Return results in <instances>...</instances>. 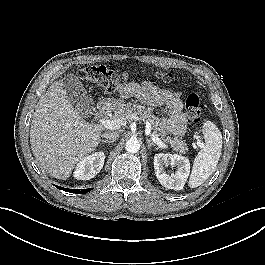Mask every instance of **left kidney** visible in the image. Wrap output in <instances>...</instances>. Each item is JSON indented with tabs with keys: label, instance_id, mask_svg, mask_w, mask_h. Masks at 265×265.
<instances>
[{
	"label": "left kidney",
	"instance_id": "1",
	"mask_svg": "<svg viewBox=\"0 0 265 265\" xmlns=\"http://www.w3.org/2000/svg\"><path fill=\"white\" fill-rule=\"evenodd\" d=\"M176 167L175 174L168 175L164 167ZM155 174L162 186L168 189L181 190L190 173L189 160L177 154H155L154 156Z\"/></svg>",
	"mask_w": 265,
	"mask_h": 265
}]
</instances>
